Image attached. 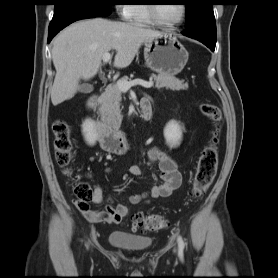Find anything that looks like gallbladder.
Listing matches in <instances>:
<instances>
[{
  "mask_svg": "<svg viewBox=\"0 0 278 278\" xmlns=\"http://www.w3.org/2000/svg\"><path fill=\"white\" fill-rule=\"evenodd\" d=\"M79 91L84 94L91 93L93 91V86L89 84H83L79 87Z\"/></svg>",
  "mask_w": 278,
  "mask_h": 278,
  "instance_id": "gallbladder-1",
  "label": "gallbladder"
}]
</instances>
